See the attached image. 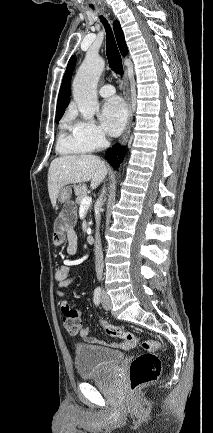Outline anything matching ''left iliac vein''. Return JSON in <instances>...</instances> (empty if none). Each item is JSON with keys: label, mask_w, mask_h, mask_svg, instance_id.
<instances>
[{"label": "left iliac vein", "mask_w": 213, "mask_h": 433, "mask_svg": "<svg viewBox=\"0 0 213 433\" xmlns=\"http://www.w3.org/2000/svg\"><path fill=\"white\" fill-rule=\"evenodd\" d=\"M102 306L105 310H110L112 306L110 297L106 292H103L102 294Z\"/></svg>", "instance_id": "left-iliac-vein-1"}]
</instances>
